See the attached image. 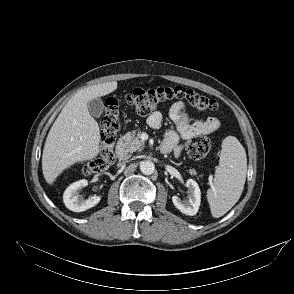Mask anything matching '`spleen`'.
Listing matches in <instances>:
<instances>
[{"label":"spleen","mask_w":294,"mask_h":294,"mask_svg":"<svg viewBox=\"0 0 294 294\" xmlns=\"http://www.w3.org/2000/svg\"><path fill=\"white\" fill-rule=\"evenodd\" d=\"M247 173V158L244 147L233 136L222 142L220 163L215 178L207 192L211 214L219 218L227 213L239 200Z\"/></svg>","instance_id":"obj_1"}]
</instances>
